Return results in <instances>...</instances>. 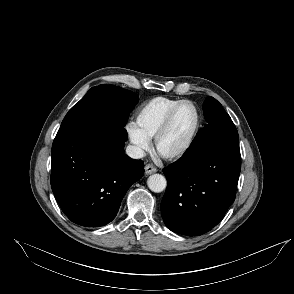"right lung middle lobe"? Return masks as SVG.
Returning <instances> with one entry per match:
<instances>
[{"label": "right lung middle lobe", "mask_w": 294, "mask_h": 294, "mask_svg": "<svg viewBox=\"0 0 294 294\" xmlns=\"http://www.w3.org/2000/svg\"><path fill=\"white\" fill-rule=\"evenodd\" d=\"M116 98L111 104L103 105L92 99L89 92L65 116L57 133L63 134L88 127L111 124L125 126L130 112L138 102V95L120 87L107 85Z\"/></svg>", "instance_id": "1"}]
</instances>
